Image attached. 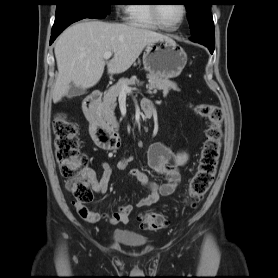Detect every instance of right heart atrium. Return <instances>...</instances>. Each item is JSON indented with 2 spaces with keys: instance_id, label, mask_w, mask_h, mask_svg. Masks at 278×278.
Segmentation results:
<instances>
[{
  "instance_id": "d8ad5b80",
  "label": "right heart atrium",
  "mask_w": 278,
  "mask_h": 278,
  "mask_svg": "<svg viewBox=\"0 0 278 278\" xmlns=\"http://www.w3.org/2000/svg\"><path fill=\"white\" fill-rule=\"evenodd\" d=\"M118 12L120 15L124 16L128 13V8L126 6H120Z\"/></svg>"
}]
</instances>
